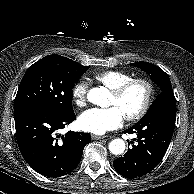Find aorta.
<instances>
[{"mask_svg": "<svg viewBox=\"0 0 194 194\" xmlns=\"http://www.w3.org/2000/svg\"><path fill=\"white\" fill-rule=\"evenodd\" d=\"M108 96V90L105 87L92 88L88 93V100L95 104L102 106ZM109 150L114 155H120L125 150V142L122 139H114L109 143Z\"/></svg>", "mask_w": 194, "mask_h": 194, "instance_id": "obj_1", "label": "aorta"}]
</instances>
